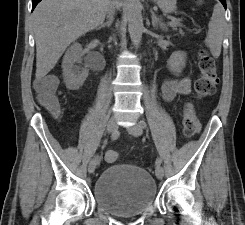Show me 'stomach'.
I'll list each match as a JSON object with an SVG mask.
<instances>
[{
	"instance_id": "obj_1",
	"label": "stomach",
	"mask_w": 245,
	"mask_h": 225,
	"mask_svg": "<svg viewBox=\"0 0 245 225\" xmlns=\"http://www.w3.org/2000/svg\"><path fill=\"white\" fill-rule=\"evenodd\" d=\"M154 3L164 12L172 13L176 10V0H153Z\"/></svg>"
}]
</instances>
